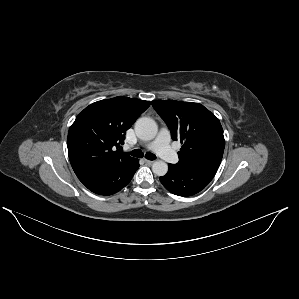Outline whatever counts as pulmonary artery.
<instances>
[{"label":"pulmonary artery","instance_id":"pulmonary-artery-1","mask_svg":"<svg viewBox=\"0 0 299 299\" xmlns=\"http://www.w3.org/2000/svg\"><path fill=\"white\" fill-rule=\"evenodd\" d=\"M170 134L166 129H162L157 138L147 145V148L158 153L164 160L170 163L178 161L177 156L172 152L170 147Z\"/></svg>","mask_w":299,"mask_h":299}]
</instances>
